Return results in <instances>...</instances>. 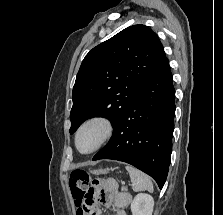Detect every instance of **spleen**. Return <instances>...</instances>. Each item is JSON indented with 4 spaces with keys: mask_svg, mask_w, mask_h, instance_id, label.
Wrapping results in <instances>:
<instances>
[{
    "mask_svg": "<svg viewBox=\"0 0 223 215\" xmlns=\"http://www.w3.org/2000/svg\"><path fill=\"white\" fill-rule=\"evenodd\" d=\"M126 169L129 171L134 191H144V189H148V191H151L152 193L153 183L149 175H146L143 171H139L136 167H131L129 163H127Z\"/></svg>",
    "mask_w": 223,
    "mask_h": 215,
    "instance_id": "spleen-1",
    "label": "spleen"
}]
</instances>
